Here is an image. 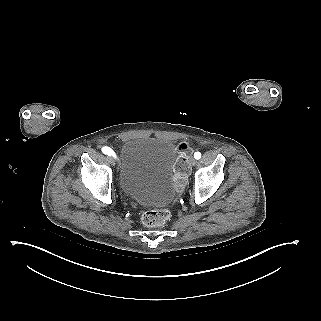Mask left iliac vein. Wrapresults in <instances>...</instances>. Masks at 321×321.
Segmentation results:
<instances>
[{"mask_svg": "<svg viewBox=\"0 0 321 321\" xmlns=\"http://www.w3.org/2000/svg\"><path fill=\"white\" fill-rule=\"evenodd\" d=\"M190 164H191L192 166H195V165L197 164V160H196L194 157H191V158H190Z\"/></svg>", "mask_w": 321, "mask_h": 321, "instance_id": "1", "label": "left iliac vein"}]
</instances>
